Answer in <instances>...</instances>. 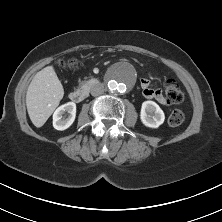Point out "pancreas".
Wrapping results in <instances>:
<instances>
[{
  "label": "pancreas",
  "mask_w": 222,
  "mask_h": 222,
  "mask_svg": "<svg viewBox=\"0 0 222 222\" xmlns=\"http://www.w3.org/2000/svg\"><path fill=\"white\" fill-rule=\"evenodd\" d=\"M90 82H91V80H89V81H79V85L83 86L85 84H89Z\"/></svg>",
  "instance_id": "obj_1"
}]
</instances>
